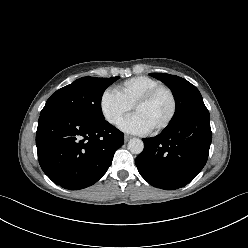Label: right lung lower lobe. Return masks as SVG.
<instances>
[{
    "instance_id": "98d812e1",
    "label": "right lung lower lobe",
    "mask_w": 248,
    "mask_h": 248,
    "mask_svg": "<svg viewBox=\"0 0 248 248\" xmlns=\"http://www.w3.org/2000/svg\"><path fill=\"white\" fill-rule=\"evenodd\" d=\"M124 134L104 120L66 111L40 115L36 133L39 164L57 185L83 189L97 182L123 145Z\"/></svg>"
}]
</instances>
